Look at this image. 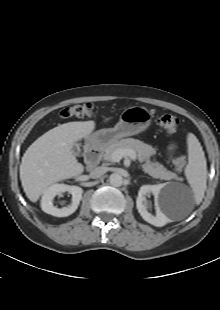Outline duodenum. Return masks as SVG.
Wrapping results in <instances>:
<instances>
[{"instance_id":"410a0bca","label":"duodenum","mask_w":220,"mask_h":310,"mask_svg":"<svg viewBox=\"0 0 220 310\" xmlns=\"http://www.w3.org/2000/svg\"><path fill=\"white\" fill-rule=\"evenodd\" d=\"M103 148L100 145H96L88 149L85 154V161L88 170L95 168L100 162Z\"/></svg>"}]
</instances>
